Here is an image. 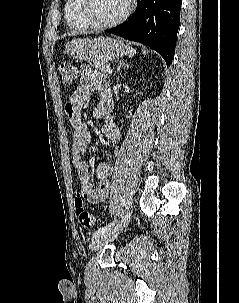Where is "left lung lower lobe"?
I'll return each mask as SVG.
<instances>
[{
	"instance_id": "obj_1",
	"label": "left lung lower lobe",
	"mask_w": 239,
	"mask_h": 303,
	"mask_svg": "<svg viewBox=\"0 0 239 303\" xmlns=\"http://www.w3.org/2000/svg\"><path fill=\"white\" fill-rule=\"evenodd\" d=\"M181 0H137L134 15L124 24L106 30L157 51L170 66L180 24Z\"/></svg>"
}]
</instances>
